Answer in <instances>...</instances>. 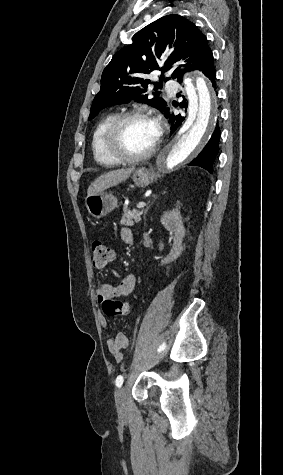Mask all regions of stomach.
Masks as SVG:
<instances>
[{
    "label": "stomach",
    "instance_id": "1",
    "mask_svg": "<svg viewBox=\"0 0 283 475\" xmlns=\"http://www.w3.org/2000/svg\"><path fill=\"white\" fill-rule=\"evenodd\" d=\"M132 180L138 188H146V186H149V184L156 180V174L152 168H137L133 172ZM117 204V198L113 194H105V192L85 198V206L89 214L94 216V218L106 216V214H109V212L116 208Z\"/></svg>",
    "mask_w": 283,
    "mask_h": 475
}]
</instances>
